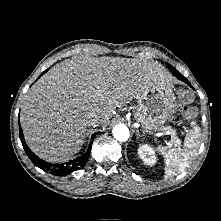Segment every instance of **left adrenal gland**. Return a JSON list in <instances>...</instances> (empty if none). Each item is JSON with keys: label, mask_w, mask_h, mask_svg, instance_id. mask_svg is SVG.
<instances>
[{"label": "left adrenal gland", "mask_w": 221, "mask_h": 221, "mask_svg": "<svg viewBox=\"0 0 221 221\" xmlns=\"http://www.w3.org/2000/svg\"><path fill=\"white\" fill-rule=\"evenodd\" d=\"M136 135H137V138L142 137V135L140 134L138 130L136 131Z\"/></svg>", "instance_id": "obj_1"}]
</instances>
